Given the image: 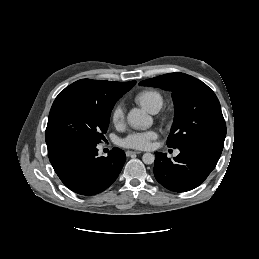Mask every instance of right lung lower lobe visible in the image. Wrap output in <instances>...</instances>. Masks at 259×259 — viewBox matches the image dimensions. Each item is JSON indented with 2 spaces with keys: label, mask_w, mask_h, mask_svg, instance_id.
<instances>
[{
  "label": "right lung lower lobe",
  "mask_w": 259,
  "mask_h": 259,
  "mask_svg": "<svg viewBox=\"0 0 259 259\" xmlns=\"http://www.w3.org/2000/svg\"><path fill=\"white\" fill-rule=\"evenodd\" d=\"M49 160L63 184L75 193L94 195L108 188L126 160L124 151L113 148L98 156L97 144L66 142L48 144Z\"/></svg>",
  "instance_id": "right-lung-lower-lobe-1"
}]
</instances>
